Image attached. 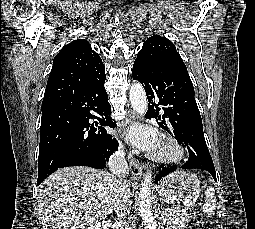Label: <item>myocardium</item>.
Masks as SVG:
<instances>
[{
    "label": "myocardium",
    "instance_id": "myocardium-1",
    "mask_svg": "<svg viewBox=\"0 0 255 229\" xmlns=\"http://www.w3.org/2000/svg\"><path fill=\"white\" fill-rule=\"evenodd\" d=\"M184 155L185 151L177 141L171 138H163L151 157L161 163H177L184 158Z\"/></svg>",
    "mask_w": 255,
    "mask_h": 229
}]
</instances>
